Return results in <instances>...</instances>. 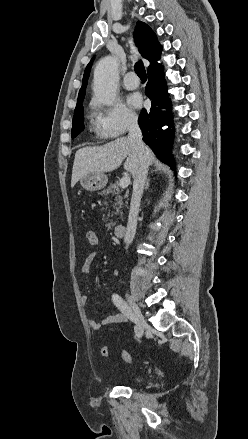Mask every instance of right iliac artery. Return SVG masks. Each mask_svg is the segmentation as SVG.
<instances>
[{
  "mask_svg": "<svg viewBox=\"0 0 248 439\" xmlns=\"http://www.w3.org/2000/svg\"><path fill=\"white\" fill-rule=\"evenodd\" d=\"M113 303L116 305V307L133 323H136V317L133 314L130 307L126 304V302L118 295L113 294L112 295Z\"/></svg>",
  "mask_w": 248,
  "mask_h": 439,
  "instance_id": "obj_1",
  "label": "right iliac artery"
}]
</instances>
